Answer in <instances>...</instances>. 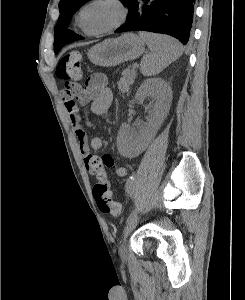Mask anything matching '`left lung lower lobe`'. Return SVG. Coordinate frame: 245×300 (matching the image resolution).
<instances>
[{
    "instance_id": "0a47b994",
    "label": "left lung lower lobe",
    "mask_w": 245,
    "mask_h": 300,
    "mask_svg": "<svg viewBox=\"0 0 245 300\" xmlns=\"http://www.w3.org/2000/svg\"><path fill=\"white\" fill-rule=\"evenodd\" d=\"M195 0H134L127 22L115 32L149 31L190 39Z\"/></svg>"
}]
</instances>
